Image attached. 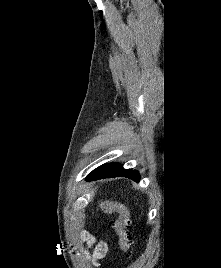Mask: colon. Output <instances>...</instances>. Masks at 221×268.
<instances>
[{
	"mask_svg": "<svg viewBox=\"0 0 221 268\" xmlns=\"http://www.w3.org/2000/svg\"><path fill=\"white\" fill-rule=\"evenodd\" d=\"M98 207L107 214L116 213L118 215L113 222V227L119 238L122 254L130 257L133 251V241L128 231L131 224L129 210L123 204L109 200H100Z\"/></svg>",
	"mask_w": 221,
	"mask_h": 268,
	"instance_id": "1",
	"label": "colon"
}]
</instances>
